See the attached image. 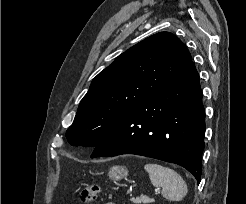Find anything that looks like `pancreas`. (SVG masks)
I'll return each mask as SVG.
<instances>
[{
    "label": "pancreas",
    "instance_id": "pancreas-1",
    "mask_svg": "<svg viewBox=\"0 0 246 204\" xmlns=\"http://www.w3.org/2000/svg\"><path fill=\"white\" fill-rule=\"evenodd\" d=\"M130 201L135 203V204H140L142 202L143 203H149V202H151V199L145 195H141L140 197L131 198Z\"/></svg>",
    "mask_w": 246,
    "mask_h": 204
}]
</instances>
